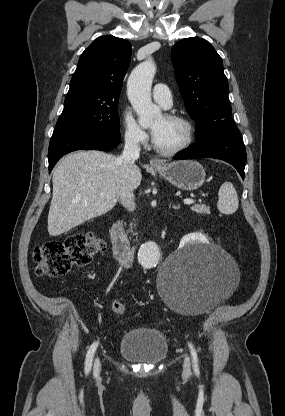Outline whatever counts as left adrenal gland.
I'll list each match as a JSON object with an SVG mask.
<instances>
[{
    "instance_id": "obj_1",
    "label": "left adrenal gland",
    "mask_w": 285,
    "mask_h": 416,
    "mask_svg": "<svg viewBox=\"0 0 285 416\" xmlns=\"http://www.w3.org/2000/svg\"><path fill=\"white\" fill-rule=\"evenodd\" d=\"M174 210H178V208H180V206H173Z\"/></svg>"
}]
</instances>
